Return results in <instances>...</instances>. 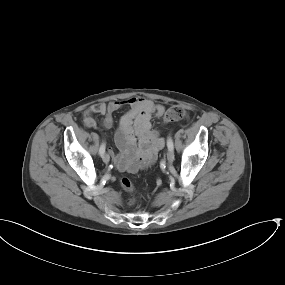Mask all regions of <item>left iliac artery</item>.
Masks as SVG:
<instances>
[{
    "instance_id": "1",
    "label": "left iliac artery",
    "mask_w": 285,
    "mask_h": 285,
    "mask_svg": "<svg viewBox=\"0 0 285 285\" xmlns=\"http://www.w3.org/2000/svg\"><path fill=\"white\" fill-rule=\"evenodd\" d=\"M167 147L168 149H173V141L170 136L167 138Z\"/></svg>"
}]
</instances>
